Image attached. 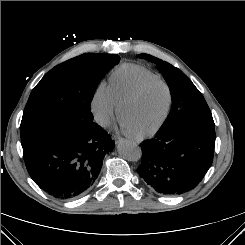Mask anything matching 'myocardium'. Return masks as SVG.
Returning <instances> with one entry per match:
<instances>
[{"mask_svg":"<svg viewBox=\"0 0 245 245\" xmlns=\"http://www.w3.org/2000/svg\"><path fill=\"white\" fill-rule=\"evenodd\" d=\"M152 82H159L165 87L166 92H167V103H166L165 110H164L162 117L152 128H150L149 130L143 131V132H138V133L133 134L138 138H145V137L152 136L153 134L159 131V129L163 126V124L167 120L170 109H171V104H172V91H171L170 85L163 78L157 75L146 78L143 81H141L137 85V87L126 98H124L119 104V113L122 117V112H123L124 107L127 104L131 103L132 101L136 100L139 97V95L142 93L144 88Z\"/></svg>","mask_w":245,"mask_h":245,"instance_id":"1","label":"myocardium"}]
</instances>
